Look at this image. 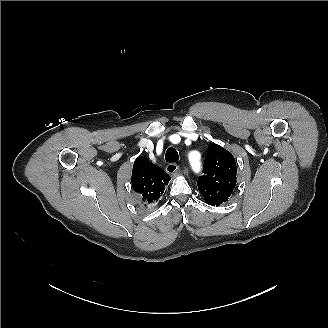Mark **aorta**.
I'll use <instances>...</instances> for the list:
<instances>
[{"label":"aorta","instance_id":"obj_1","mask_svg":"<svg viewBox=\"0 0 328 328\" xmlns=\"http://www.w3.org/2000/svg\"><path fill=\"white\" fill-rule=\"evenodd\" d=\"M189 161L194 172L198 173L201 169L200 160L195 156L194 153H191L189 156Z\"/></svg>","mask_w":328,"mask_h":328}]
</instances>
